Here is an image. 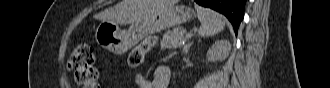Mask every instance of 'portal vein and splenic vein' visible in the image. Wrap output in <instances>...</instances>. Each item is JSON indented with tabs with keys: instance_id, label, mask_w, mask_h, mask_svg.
I'll return each instance as SVG.
<instances>
[{
	"instance_id": "1",
	"label": "portal vein and splenic vein",
	"mask_w": 330,
	"mask_h": 88,
	"mask_svg": "<svg viewBox=\"0 0 330 88\" xmlns=\"http://www.w3.org/2000/svg\"><path fill=\"white\" fill-rule=\"evenodd\" d=\"M186 37H187V38H191L192 35H191V34H187Z\"/></svg>"
}]
</instances>
